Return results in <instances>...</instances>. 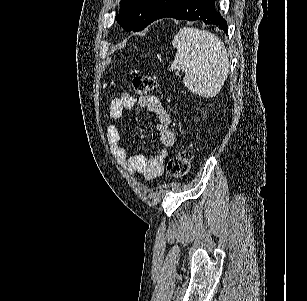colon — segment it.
Returning <instances> with one entry per match:
<instances>
[{
    "label": "colon",
    "instance_id": "colon-1",
    "mask_svg": "<svg viewBox=\"0 0 307 301\" xmlns=\"http://www.w3.org/2000/svg\"><path fill=\"white\" fill-rule=\"evenodd\" d=\"M136 94L145 95L153 91L156 87V80L149 75H138L132 80ZM193 153L189 149H182L167 164V172L173 178L185 176L190 169Z\"/></svg>",
    "mask_w": 307,
    "mask_h": 301
}]
</instances>
